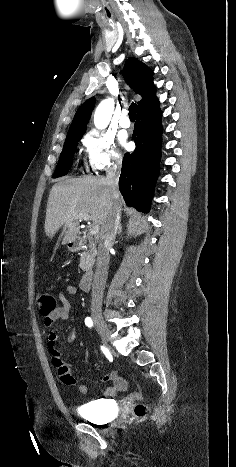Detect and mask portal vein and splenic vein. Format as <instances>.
Segmentation results:
<instances>
[{"label": "portal vein and splenic vein", "instance_id": "obj_1", "mask_svg": "<svg viewBox=\"0 0 236 467\" xmlns=\"http://www.w3.org/2000/svg\"><path fill=\"white\" fill-rule=\"evenodd\" d=\"M82 220L88 221V220H90V216L87 215V216H84L83 218H80V221H82ZM99 230H100V226H99V225H95V226H93V227L90 229V233H91L92 235H96V234L99 233Z\"/></svg>", "mask_w": 236, "mask_h": 467}]
</instances>
